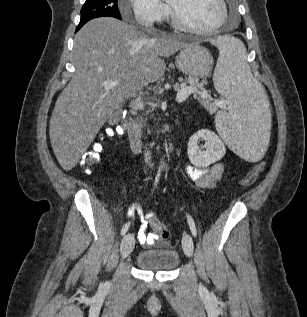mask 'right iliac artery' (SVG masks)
Here are the masks:
<instances>
[{
	"instance_id": "82829eb1",
	"label": "right iliac artery",
	"mask_w": 307,
	"mask_h": 317,
	"mask_svg": "<svg viewBox=\"0 0 307 317\" xmlns=\"http://www.w3.org/2000/svg\"><path fill=\"white\" fill-rule=\"evenodd\" d=\"M160 175H161V169L159 168L157 176L155 178L154 186H156L157 183L159 182ZM128 228H129V223H126L121 229V235H124L128 231Z\"/></svg>"
}]
</instances>
